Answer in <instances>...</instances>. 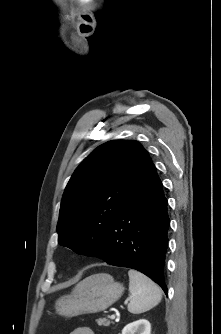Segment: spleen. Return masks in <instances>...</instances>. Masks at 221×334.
Here are the masks:
<instances>
[{
  "label": "spleen",
  "mask_w": 221,
  "mask_h": 334,
  "mask_svg": "<svg viewBox=\"0 0 221 334\" xmlns=\"http://www.w3.org/2000/svg\"><path fill=\"white\" fill-rule=\"evenodd\" d=\"M128 275L131 294V300L128 304L130 313L140 314L160 303L162 291L151 279L133 269L128 271Z\"/></svg>",
  "instance_id": "obj_1"
}]
</instances>
